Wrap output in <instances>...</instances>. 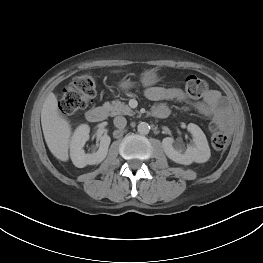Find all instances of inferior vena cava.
I'll return each mask as SVG.
<instances>
[{"label": "inferior vena cava", "mask_w": 263, "mask_h": 263, "mask_svg": "<svg viewBox=\"0 0 263 263\" xmlns=\"http://www.w3.org/2000/svg\"><path fill=\"white\" fill-rule=\"evenodd\" d=\"M113 123L117 128L123 129L127 124V120L123 116H116L113 120Z\"/></svg>", "instance_id": "1"}]
</instances>
